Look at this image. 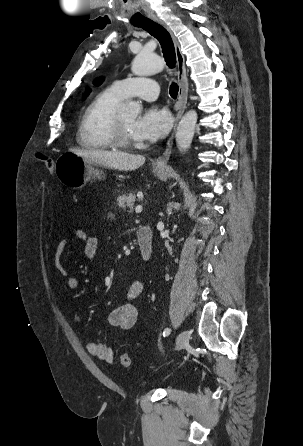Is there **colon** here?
<instances>
[{
	"instance_id": "obj_1",
	"label": "colon",
	"mask_w": 303,
	"mask_h": 446,
	"mask_svg": "<svg viewBox=\"0 0 303 446\" xmlns=\"http://www.w3.org/2000/svg\"><path fill=\"white\" fill-rule=\"evenodd\" d=\"M37 158L41 162L45 163V166L50 173H52L54 171V163L51 158H49L48 156L41 154V153L37 154ZM118 361H119L120 365H122L123 367H126V368L130 367V365H131L130 357L127 353L120 354L118 357Z\"/></svg>"
}]
</instances>
